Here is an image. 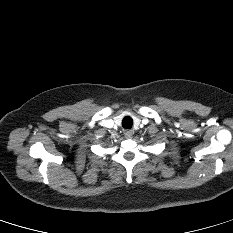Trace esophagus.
I'll list each match as a JSON object with an SVG mask.
<instances>
[{"instance_id":"obj_1","label":"esophagus","mask_w":233,"mask_h":233,"mask_svg":"<svg viewBox=\"0 0 233 233\" xmlns=\"http://www.w3.org/2000/svg\"><path fill=\"white\" fill-rule=\"evenodd\" d=\"M133 133V130L130 129L124 131V135L126 138H130L133 135Z\"/></svg>"}]
</instances>
